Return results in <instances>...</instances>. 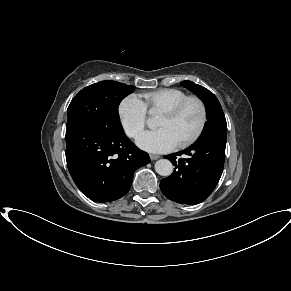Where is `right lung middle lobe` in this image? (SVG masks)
I'll list each match as a JSON object with an SVG mask.
<instances>
[{
  "label": "right lung middle lobe",
  "instance_id": "1",
  "mask_svg": "<svg viewBox=\"0 0 291 291\" xmlns=\"http://www.w3.org/2000/svg\"><path fill=\"white\" fill-rule=\"evenodd\" d=\"M134 89V86L116 81H101L85 87L68 106L67 125L80 124L96 131L122 128L118 106Z\"/></svg>",
  "mask_w": 291,
  "mask_h": 291
}]
</instances>
